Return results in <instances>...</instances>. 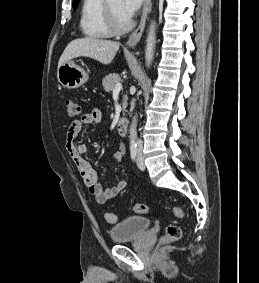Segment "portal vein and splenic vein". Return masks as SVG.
Returning <instances> with one entry per match:
<instances>
[{"label":"portal vein and splenic vein","instance_id":"18ae733b","mask_svg":"<svg viewBox=\"0 0 259 283\" xmlns=\"http://www.w3.org/2000/svg\"><path fill=\"white\" fill-rule=\"evenodd\" d=\"M122 89V84L121 83H117L114 87L113 93H119Z\"/></svg>","mask_w":259,"mask_h":283}]
</instances>
